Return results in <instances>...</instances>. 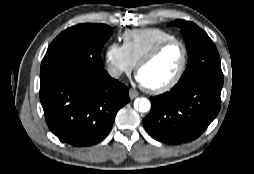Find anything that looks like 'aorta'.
<instances>
[{
  "mask_svg": "<svg viewBox=\"0 0 254 174\" xmlns=\"http://www.w3.org/2000/svg\"><path fill=\"white\" fill-rule=\"evenodd\" d=\"M134 107L142 113L148 112L151 108V103L147 98H138L134 102Z\"/></svg>",
  "mask_w": 254,
  "mask_h": 174,
  "instance_id": "aorta-1",
  "label": "aorta"
}]
</instances>
